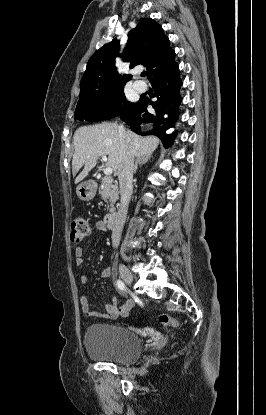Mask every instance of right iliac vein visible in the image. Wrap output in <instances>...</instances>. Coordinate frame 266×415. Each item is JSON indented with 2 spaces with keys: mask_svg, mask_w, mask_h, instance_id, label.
Here are the masks:
<instances>
[{
  "mask_svg": "<svg viewBox=\"0 0 266 415\" xmlns=\"http://www.w3.org/2000/svg\"><path fill=\"white\" fill-rule=\"evenodd\" d=\"M119 272L125 283L131 284L133 282V275L125 265L121 264L119 266Z\"/></svg>",
  "mask_w": 266,
  "mask_h": 415,
  "instance_id": "1",
  "label": "right iliac vein"
}]
</instances>
